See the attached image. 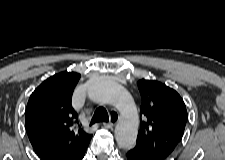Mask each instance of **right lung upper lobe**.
Here are the masks:
<instances>
[{
    "instance_id": "1",
    "label": "right lung upper lobe",
    "mask_w": 225,
    "mask_h": 160,
    "mask_svg": "<svg viewBox=\"0 0 225 160\" xmlns=\"http://www.w3.org/2000/svg\"><path fill=\"white\" fill-rule=\"evenodd\" d=\"M80 74L62 72L45 80L31 94L25 127L37 154L46 160H76L87 149L91 134L78 126L71 100Z\"/></svg>"
}]
</instances>
